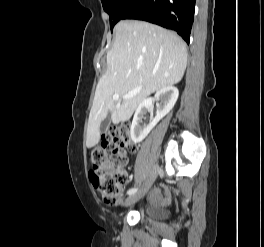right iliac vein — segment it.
<instances>
[{"instance_id":"obj_1","label":"right iliac vein","mask_w":264,"mask_h":247,"mask_svg":"<svg viewBox=\"0 0 264 247\" xmlns=\"http://www.w3.org/2000/svg\"><path fill=\"white\" fill-rule=\"evenodd\" d=\"M157 171H158V167L154 166L147 177L145 185L138 192L128 197V199L126 200L127 205L134 204L145 196V194L148 192V190L152 186L154 180L156 179Z\"/></svg>"}]
</instances>
